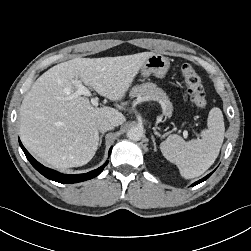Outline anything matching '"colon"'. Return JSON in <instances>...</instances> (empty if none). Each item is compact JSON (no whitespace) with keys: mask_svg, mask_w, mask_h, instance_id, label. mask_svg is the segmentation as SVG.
<instances>
[{"mask_svg":"<svg viewBox=\"0 0 251 251\" xmlns=\"http://www.w3.org/2000/svg\"><path fill=\"white\" fill-rule=\"evenodd\" d=\"M181 73L186 83L187 91L192 102L196 106L204 108L207 105V96L205 94L199 75L189 64H184L182 66Z\"/></svg>","mask_w":251,"mask_h":251,"instance_id":"1","label":"colon"}]
</instances>
